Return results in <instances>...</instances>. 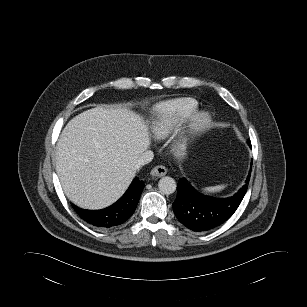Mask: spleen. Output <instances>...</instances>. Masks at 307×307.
<instances>
[{"label":"spleen","mask_w":307,"mask_h":307,"mask_svg":"<svg viewBox=\"0 0 307 307\" xmlns=\"http://www.w3.org/2000/svg\"><path fill=\"white\" fill-rule=\"evenodd\" d=\"M222 188H223V186H215V187L206 188L205 190L208 191V192H214V191L221 190Z\"/></svg>","instance_id":"spleen-1"}]
</instances>
